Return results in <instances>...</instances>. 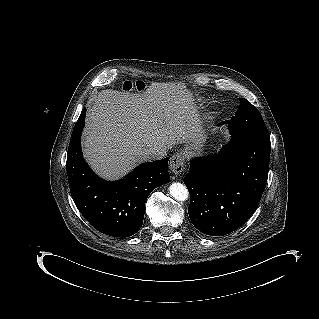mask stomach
Returning a JSON list of instances; mask_svg holds the SVG:
<instances>
[{
    "mask_svg": "<svg viewBox=\"0 0 319 319\" xmlns=\"http://www.w3.org/2000/svg\"><path fill=\"white\" fill-rule=\"evenodd\" d=\"M204 138L202 135H197L192 140V144L186 149L188 155H193L195 153H201L203 151Z\"/></svg>",
    "mask_w": 319,
    "mask_h": 319,
    "instance_id": "obj_1",
    "label": "stomach"
}]
</instances>
